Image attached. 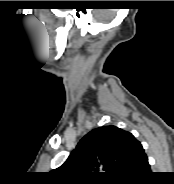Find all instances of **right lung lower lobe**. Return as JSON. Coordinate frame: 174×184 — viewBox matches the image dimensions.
Instances as JSON below:
<instances>
[{"mask_svg":"<svg viewBox=\"0 0 174 184\" xmlns=\"http://www.w3.org/2000/svg\"><path fill=\"white\" fill-rule=\"evenodd\" d=\"M150 175V165L146 158L127 179L118 182V184H146Z\"/></svg>","mask_w":174,"mask_h":184,"instance_id":"obj_1","label":"right lung lower lobe"}]
</instances>
